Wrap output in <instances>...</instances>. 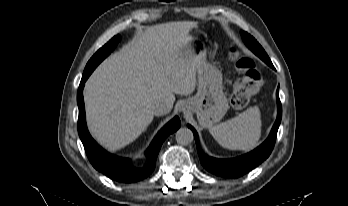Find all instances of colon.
I'll return each instance as SVG.
<instances>
[{
    "label": "colon",
    "instance_id": "obj_1",
    "mask_svg": "<svg viewBox=\"0 0 348 206\" xmlns=\"http://www.w3.org/2000/svg\"><path fill=\"white\" fill-rule=\"evenodd\" d=\"M232 58L241 74L234 88L232 102L236 107L242 108L262 87V72L253 59L241 56L237 50H233Z\"/></svg>",
    "mask_w": 348,
    "mask_h": 206
}]
</instances>
